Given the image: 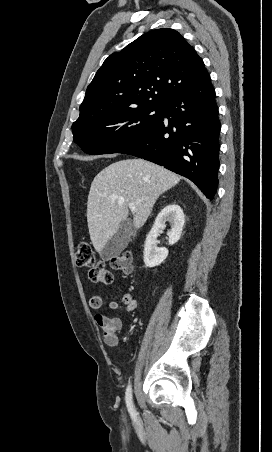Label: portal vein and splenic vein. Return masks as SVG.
Listing matches in <instances>:
<instances>
[{
	"instance_id": "18ae733b",
	"label": "portal vein and splenic vein",
	"mask_w": 272,
	"mask_h": 452,
	"mask_svg": "<svg viewBox=\"0 0 272 452\" xmlns=\"http://www.w3.org/2000/svg\"><path fill=\"white\" fill-rule=\"evenodd\" d=\"M129 209H130L132 212H134V211L136 210V205H135V203H130V204H129Z\"/></svg>"
}]
</instances>
